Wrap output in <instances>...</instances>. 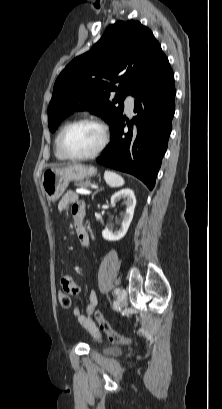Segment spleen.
<instances>
[{
	"label": "spleen",
	"mask_w": 222,
	"mask_h": 409,
	"mask_svg": "<svg viewBox=\"0 0 222 409\" xmlns=\"http://www.w3.org/2000/svg\"><path fill=\"white\" fill-rule=\"evenodd\" d=\"M104 179L106 183L113 188L121 187L124 185V179L117 173L112 171H105Z\"/></svg>",
	"instance_id": "spleen-1"
}]
</instances>
